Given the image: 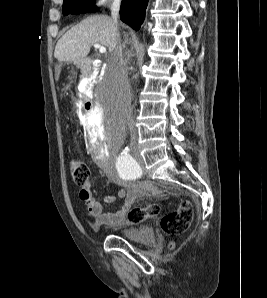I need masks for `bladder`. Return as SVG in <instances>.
Masks as SVG:
<instances>
[{
	"label": "bladder",
	"mask_w": 267,
	"mask_h": 298,
	"mask_svg": "<svg viewBox=\"0 0 267 298\" xmlns=\"http://www.w3.org/2000/svg\"><path fill=\"white\" fill-rule=\"evenodd\" d=\"M123 238L142 244H149L155 240L154 229L150 225H143L137 228H125L119 231Z\"/></svg>",
	"instance_id": "31cf9c89"
}]
</instances>
